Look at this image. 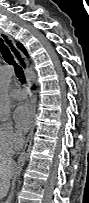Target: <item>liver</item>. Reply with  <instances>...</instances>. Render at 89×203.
Wrapping results in <instances>:
<instances>
[{
  "label": "liver",
  "mask_w": 89,
  "mask_h": 203,
  "mask_svg": "<svg viewBox=\"0 0 89 203\" xmlns=\"http://www.w3.org/2000/svg\"><path fill=\"white\" fill-rule=\"evenodd\" d=\"M16 163L12 159H0V196L4 197L10 187L9 179L14 175Z\"/></svg>",
  "instance_id": "obj_1"
}]
</instances>
